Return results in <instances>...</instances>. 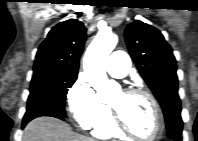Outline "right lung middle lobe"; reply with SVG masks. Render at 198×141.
<instances>
[{
  "label": "right lung middle lobe",
  "mask_w": 198,
  "mask_h": 141,
  "mask_svg": "<svg viewBox=\"0 0 198 141\" xmlns=\"http://www.w3.org/2000/svg\"><path fill=\"white\" fill-rule=\"evenodd\" d=\"M77 76L78 74L65 73L33 74L23 121L33 119L34 111H46L66 118L64 109L66 94Z\"/></svg>",
  "instance_id": "1"
}]
</instances>
